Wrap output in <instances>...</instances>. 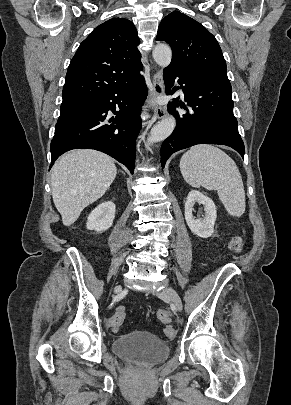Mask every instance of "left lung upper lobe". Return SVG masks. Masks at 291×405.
I'll list each match as a JSON object with an SVG mask.
<instances>
[{
  "label": "left lung upper lobe",
  "mask_w": 291,
  "mask_h": 405,
  "mask_svg": "<svg viewBox=\"0 0 291 405\" xmlns=\"http://www.w3.org/2000/svg\"><path fill=\"white\" fill-rule=\"evenodd\" d=\"M157 41L172 48L169 67L188 74L227 78V66L216 38L199 22L173 11L160 23Z\"/></svg>",
  "instance_id": "5c2ea615"
}]
</instances>
